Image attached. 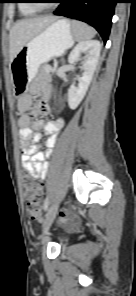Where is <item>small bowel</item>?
<instances>
[{"instance_id": "obj_1", "label": "small bowel", "mask_w": 136, "mask_h": 296, "mask_svg": "<svg viewBox=\"0 0 136 296\" xmlns=\"http://www.w3.org/2000/svg\"><path fill=\"white\" fill-rule=\"evenodd\" d=\"M30 109H32L31 113L27 114V111ZM18 110L21 113L18 119V125L22 141L23 168L28 173L37 174L41 179H44L48 169L47 159L51 155L52 148L63 128L64 121L62 119L48 122L40 120L31 125L32 119L49 112L50 107L47 99L32 105V100L29 96H22L18 100ZM42 135L48 136L46 140V151L38 150L37 143Z\"/></svg>"}]
</instances>
